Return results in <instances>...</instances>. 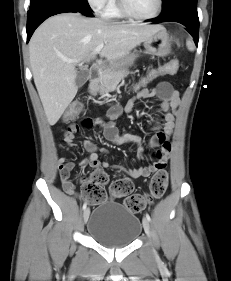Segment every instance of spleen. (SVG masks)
<instances>
[{"mask_svg":"<svg viewBox=\"0 0 231 281\" xmlns=\"http://www.w3.org/2000/svg\"><path fill=\"white\" fill-rule=\"evenodd\" d=\"M186 46H187L188 50H190V51H194V49H195L194 43H193L192 40H187L186 41Z\"/></svg>","mask_w":231,"mask_h":281,"instance_id":"3e777b00","label":"spleen"}]
</instances>
